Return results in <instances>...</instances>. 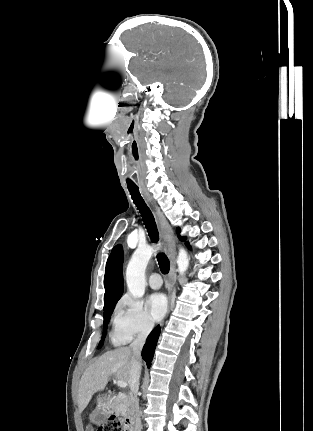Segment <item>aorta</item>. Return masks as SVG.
Segmentation results:
<instances>
[{"mask_svg":"<svg viewBox=\"0 0 313 431\" xmlns=\"http://www.w3.org/2000/svg\"><path fill=\"white\" fill-rule=\"evenodd\" d=\"M154 252L155 248L151 246L137 248L127 265V287L130 294L135 298H141L145 293V270ZM177 265L180 275H183L188 269L189 258L183 248L179 249Z\"/></svg>","mask_w":313,"mask_h":431,"instance_id":"obj_1","label":"aorta"}]
</instances>
